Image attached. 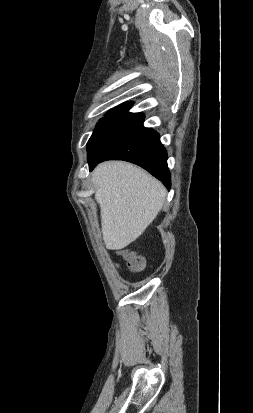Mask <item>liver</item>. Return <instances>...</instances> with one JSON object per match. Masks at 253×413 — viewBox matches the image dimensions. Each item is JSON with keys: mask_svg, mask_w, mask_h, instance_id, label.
I'll return each instance as SVG.
<instances>
[{"mask_svg": "<svg viewBox=\"0 0 253 413\" xmlns=\"http://www.w3.org/2000/svg\"><path fill=\"white\" fill-rule=\"evenodd\" d=\"M95 200L101 209L103 241L119 250L134 242L163 207L166 189L142 168L106 161L92 174Z\"/></svg>", "mask_w": 253, "mask_h": 413, "instance_id": "6515ba94", "label": "liver"}]
</instances>
